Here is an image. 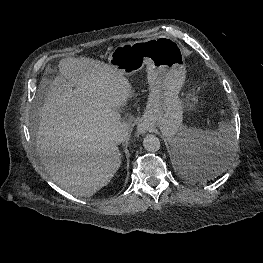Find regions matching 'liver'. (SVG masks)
<instances>
[{"instance_id": "liver-1", "label": "liver", "mask_w": 263, "mask_h": 263, "mask_svg": "<svg viewBox=\"0 0 263 263\" xmlns=\"http://www.w3.org/2000/svg\"><path fill=\"white\" fill-rule=\"evenodd\" d=\"M59 71L39 112L37 153L57 185L90 197L121 165L111 134L132 87L122 71L92 58H64Z\"/></svg>"}]
</instances>
